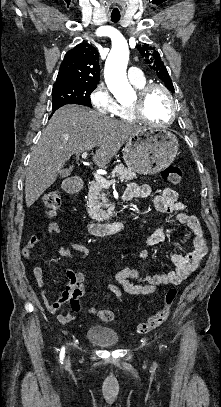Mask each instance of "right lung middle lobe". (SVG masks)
Listing matches in <instances>:
<instances>
[{"instance_id":"dd1d6c3e","label":"right lung middle lobe","mask_w":221,"mask_h":407,"mask_svg":"<svg viewBox=\"0 0 221 407\" xmlns=\"http://www.w3.org/2000/svg\"><path fill=\"white\" fill-rule=\"evenodd\" d=\"M97 87L91 84H69L52 89V107L59 108L66 104L91 106L90 94Z\"/></svg>"}]
</instances>
